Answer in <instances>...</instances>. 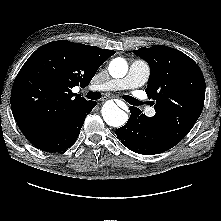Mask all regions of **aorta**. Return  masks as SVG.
<instances>
[{"instance_id":"aorta-1","label":"aorta","mask_w":221,"mask_h":221,"mask_svg":"<svg viewBox=\"0 0 221 221\" xmlns=\"http://www.w3.org/2000/svg\"><path fill=\"white\" fill-rule=\"evenodd\" d=\"M108 70L111 77L123 78L128 72V64L125 59L118 57L110 62ZM101 112L104 121L109 126L121 127L128 120L127 113L121 110L113 101H107Z\"/></svg>"}]
</instances>
